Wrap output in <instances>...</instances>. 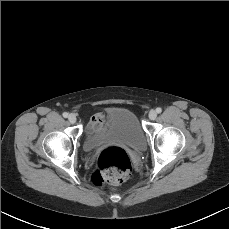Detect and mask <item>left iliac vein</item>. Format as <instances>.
Here are the masks:
<instances>
[{
	"label": "left iliac vein",
	"instance_id": "1",
	"mask_svg": "<svg viewBox=\"0 0 229 229\" xmlns=\"http://www.w3.org/2000/svg\"><path fill=\"white\" fill-rule=\"evenodd\" d=\"M156 116H157V113L155 110H151L148 114V117L150 120H154L156 118Z\"/></svg>",
	"mask_w": 229,
	"mask_h": 229
}]
</instances>
